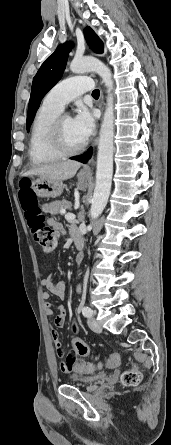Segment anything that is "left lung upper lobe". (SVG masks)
I'll list each match as a JSON object with an SVG mask.
<instances>
[{"instance_id": "5c2ea615", "label": "left lung upper lobe", "mask_w": 171, "mask_h": 445, "mask_svg": "<svg viewBox=\"0 0 171 445\" xmlns=\"http://www.w3.org/2000/svg\"><path fill=\"white\" fill-rule=\"evenodd\" d=\"M84 35L94 52L103 53V42L90 27L84 29ZM71 47L72 44L70 43L60 44L55 52L44 61L34 76L26 121L27 131L30 129L42 98L61 79Z\"/></svg>"}]
</instances>
